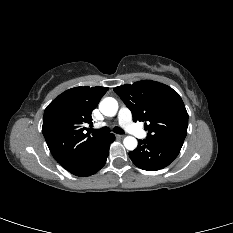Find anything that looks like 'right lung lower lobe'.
<instances>
[{"instance_id": "obj_1", "label": "right lung lower lobe", "mask_w": 233, "mask_h": 233, "mask_svg": "<svg viewBox=\"0 0 233 233\" xmlns=\"http://www.w3.org/2000/svg\"><path fill=\"white\" fill-rule=\"evenodd\" d=\"M114 134L104 135L78 162L67 168L76 176H90L98 172L106 163Z\"/></svg>"}]
</instances>
